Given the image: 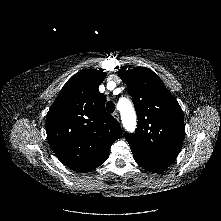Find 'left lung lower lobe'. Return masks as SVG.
<instances>
[{"mask_svg": "<svg viewBox=\"0 0 221 221\" xmlns=\"http://www.w3.org/2000/svg\"><path fill=\"white\" fill-rule=\"evenodd\" d=\"M132 152L137 164L150 172H160L171 164L168 162L152 159L134 150H132Z\"/></svg>", "mask_w": 221, "mask_h": 221, "instance_id": "0a47b994", "label": "left lung lower lobe"}]
</instances>
